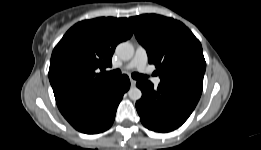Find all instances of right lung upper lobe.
Returning <instances> with one entry per match:
<instances>
[{"mask_svg": "<svg viewBox=\"0 0 261 150\" xmlns=\"http://www.w3.org/2000/svg\"><path fill=\"white\" fill-rule=\"evenodd\" d=\"M132 34L127 18L112 17L81 21L66 32L53 50L49 68V80L61 113L116 81L103 68L112 65L116 45Z\"/></svg>", "mask_w": 261, "mask_h": 150, "instance_id": "right-lung-upper-lobe-1", "label": "right lung upper lobe"}]
</instances>
